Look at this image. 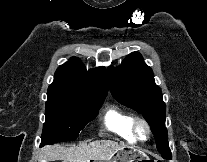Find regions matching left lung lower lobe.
Listing matches in <instances>:
<instances>
[{
    "label": "left lung lower lobe",
    "instance_id": "left-lung-lower-lobe-1",
    "mask_svg": "<svg viewBox=\"0 0 207 162\" xmlns=\"http://www.w3.org/2000/svg\"><path fill=\"white\" fill-rule=\"evenodd\" d=\"M164 158H169L171 159V154L167 155V156H163Z\"/></svg>",
    "mask_w": 207,
    "mask_h": 162
}]
</instances>
